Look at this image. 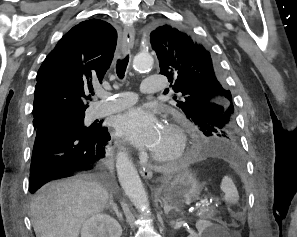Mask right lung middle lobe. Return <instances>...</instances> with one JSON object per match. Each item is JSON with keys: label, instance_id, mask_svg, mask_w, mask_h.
<instances>
[{"label": "right lung middle lobe", "instance_id": "obj_1", "mask_svg": "<svg viewBox=\"0 0 297 237\" xmlns=\"http://www.w3.org/2000/svg\"><path fill=\"white\" fill-rule=\"evenodd\" d=\"M61 115L70 121H72L76 126L84 129V130H91L94 128L95 124H91V126L86 127L84 125V117H85V112L79 111V112H59V113H54L50 115ZM49 116V115H48ZM45 117L39 119V120H33V125L35 128L38 127L39 123L44 119Z\"/></svg>", "mask_w": 297, "mask_h": 237}]
</instances>
